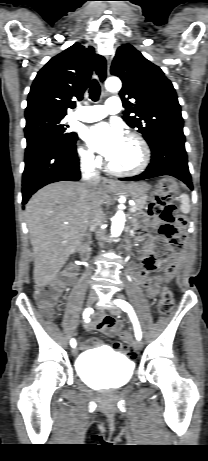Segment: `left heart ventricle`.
Returning <instances> with one entry per match:
<instances>
[{"label":"left heart ventricle","instance_id":"b2bd125f","mask_svg":"<svg viewBox=\"0 0 208 461\" xmlns=\"http://www.w3.org/2000/svg\"><path fill=\"white\" fill-rule=\"evenodd\" d=\"M110 161L115 168L129 170L140 163L141 154L136 143L125 138L121 149Z\"/></svg>","mask_w":208,"mask_h":461}]
</instances>
